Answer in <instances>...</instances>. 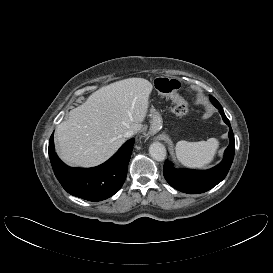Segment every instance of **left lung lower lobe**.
I'll list each match as a JSON object with an SVG mask.
<instances>
[{
	"instance_id": "obj_1",
	"label": "left lung lower lobe",
	"mask_w": 273,
	"mask_h": 273,
	"mask_svg": "<svg viewBox=\"0 0 273 273\" xmlns=\"http://www.w3.org/2000/svg\"><path fill=\"white\" fill-rule=\"evenodd\" d=\"M215 107L219 109L224 122L229 126L230 144L224 152V158L221 163L209 170L174 169L170 161H165L163 174L166 181L181 192L189 194L206 192L220 183L230 169L235 152L234 135L222 106L219 104Z\"/></svg>"
}]
</instances>
